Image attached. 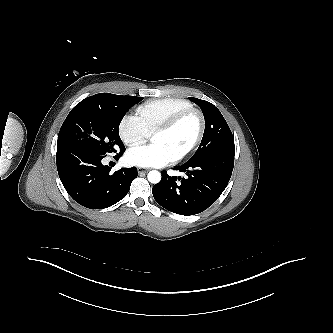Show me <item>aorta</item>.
<instances>
[{
    "instance_id": "aorta-1",
    "label": "aorta",
    "mask_w": 333,
    "mask_h": 333,
    "mask_svg": "<svg viewBox=\"0 0 333 333\" xmlns=\"http://www.w3.org/2000/svg\"><path fill=\"white\" fill-rule=\"evenodd\" d=\"M147 178L150 183L157 184L161 180V173L159 171L152 170L148 173Z\"/></svg>"
}]
</instances>
